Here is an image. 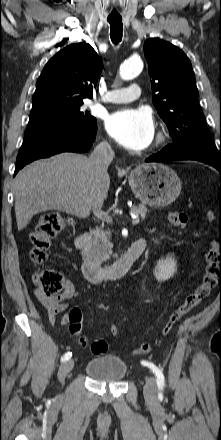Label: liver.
<instances>
[{"mask_svg": "<svg viewBox=\"0 0 221 440\" xmlns=\"http://www.w3.org/2000/svg\"><path fill=\"white\" fill-rule=\"evenodd\" d=\"M109 175L98 179L85 155L60 153L24 167L14 180L15 213L19 231L32 217L50 210L86 218L108 196Z\"/></svg>", "mask_w": 221, "mask_h": 440, "instance_id": "1", "label": "liver"}]
</instances>
